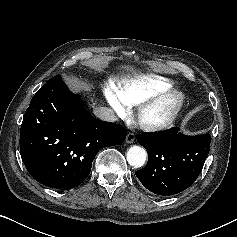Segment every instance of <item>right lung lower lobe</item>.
Instances as JSON below:
<instances>
[{"instance_id":"obj_1","label":"right lung lower lobe","mask_w":237,"mask_h":237,"mask_svg":"<svg viewBox=\"0 0 237 237\" xmlns=\"http://www.w3.org/2000/svg\"><path fill=\"white\" fill-rule=\"evenodd\" d=\"M126 138L120 125L95 119L62 79L48 80L34 95L20 130L22 161L39 183L75 188L90 174L99 150Z\"/></svg>"}]
</instances>
